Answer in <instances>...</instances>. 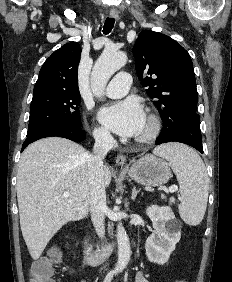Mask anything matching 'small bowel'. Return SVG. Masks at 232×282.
<instances>
[{"label":"small bowel","mask_w":232,"mask_h":282,"mask_svg":"<svg viewBox=\"0 0 232 282\" xmlns=\"http://www.w3.org/2000/svg\"><path fill=\"white\" fill-rule=\"evenodd\" d=\"M82 282H86V281H82ZM134 282H149V280L145 277L143 271H139L136 274Z\"/></svg>","instance_id":"obj_1"}]
</instances>
